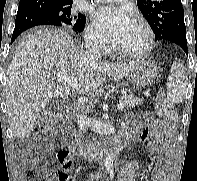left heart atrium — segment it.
Returning a JSON list of instances; mask_svg holds the SVG:
<instances>
[{"label": "left heart atrium", "instance_id": "39dd6f15", "mask_svg": "<svg viewBox=\"0 0 197 181\" xmlns=\"http://www.w3.org/2000/svg\"><path fill=\"white\" fill-rule=\"evenodd\" d=\"M97 25L110 37L117 41L127 30L132 20L124 8L106 6L94 14Z\"/></svg>", "mask_w": 197, "mask_h": 181}]
</instances>
